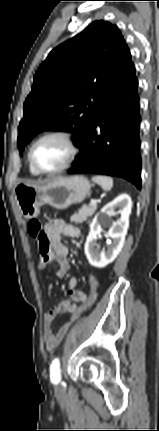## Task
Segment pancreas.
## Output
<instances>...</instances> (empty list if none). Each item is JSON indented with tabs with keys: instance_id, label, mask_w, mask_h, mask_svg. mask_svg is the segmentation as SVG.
<instances>
[{
	"instance_id": "obj_1",
	"label": "pancreas",
	"mask_w": 159,
	"mask_h": 431,
	"mask_svg": "<svg viewBox=\"0 0 159 431\" xmlns=\"http://www.w3.org/2000/svg\"><path fill=\"white\" fill-rule=\"evenodd\" d=\"M97 207L96 206H83L81 207L77 213L71 216V222H74L75 224L82 223L87 220V218L91 217Z\"/></svg>"
}]
</instances>
